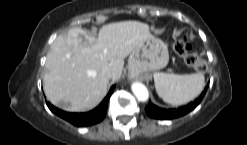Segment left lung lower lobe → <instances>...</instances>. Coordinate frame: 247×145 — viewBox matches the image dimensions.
I'll return each instance as SVG.
<instances>
[{"mask_svg": "<svg viewBox=\"0 0 247 145\" xmlns=\"http://www.w3.org/2000/svg\"><path fill=\"white\" fill-rule=\"evenodd\" d=\"M207 88L208 87L204 89V91L201 93L199 98H197L194 102H191L187 106L180 107L178 109L167 110V109L159 108L156 105L149 102V104L145 108V111L150 117L155 119H173L183 116L188 112H190L191 110H193L202 101L204 95L206 94Z\"/></svg>", "mask_w": 247, "mask_h": 145, "instance_id": "left-lung-lower-lobe-1", "label": "left lung lower lobe"}]
</instances>
